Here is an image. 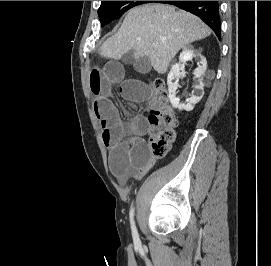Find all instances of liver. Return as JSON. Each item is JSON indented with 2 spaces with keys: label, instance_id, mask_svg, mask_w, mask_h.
Segmentation results:
<instances>
[{
  "label": "liver",
  "instance_id": "1",
  "mask_svg": "<svg viewBox=\"0 0 271 266\" xmlns=\"http://www.w3.org/2000/svg\"><path fill=\"white\" fill-rule=\"evenodd\" d=\"M210 34V28L189 12L168 4H145L128 12L118 32L102 45L100 55L120 60L133 50L136 58L147 56L154 70L164 74L180 49Z\"/></svg>",
  "mask_w": 271,
  "mask_h": 266
}]
</instances>
